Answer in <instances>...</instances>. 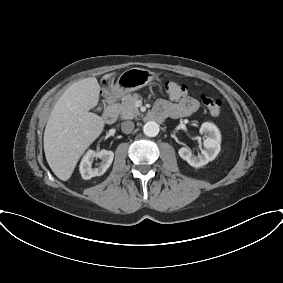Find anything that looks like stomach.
Returning <instances> with one entry per match:
<instances>
[{"instance_id":"0dacf381","label":"stomach","mask_w":283,"mask_h":283,"mask_svg":"<svg viewBox=\"0 0 283 283\" xmlns=\"http://www.w3.org/2000/svg\"><path fill=\"white\" fill-rule=\"evenodd\" d=\"M155 78L153 72L142 68H131L124 71L115 85L111 87L113 97H122L127 93L139 90L150 84Z\"/></svg>"}]
</instances>
